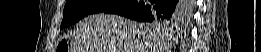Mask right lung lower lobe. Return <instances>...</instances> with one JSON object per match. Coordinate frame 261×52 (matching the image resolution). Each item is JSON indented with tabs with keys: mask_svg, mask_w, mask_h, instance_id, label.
Here are the masks:
<instances>
[{
	"mask_svg": "<svg viewBox=\"0 0 261 52\" xmlns=\"http://www.w3.org/2000/svg\"><path fill=\"white\" fill-rule=\"evenodd\" d=\"M181 2L179 0H123L103 12L142 22L168 20L182 15L184 10Z\"/></svg>",
	"mask_w": 261,
	"mask_h": 52,
	"instance_id": "right-lung-lower-lobe-1",
	"label": "right lung lower lobe"
}]
</instances>
